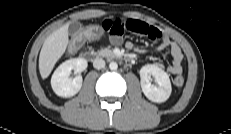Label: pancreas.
Segmentation results:
<instances>
[{
	"instance_id": "cf45deb5",
	"label": "pancreas",
	"mask_w": 231,
	"mask_h": 134,
	"mask_svg": "<svg viewBox=\"0 0 231 134\" xmlns=\"http://www.w3.org/2000/svg\"><path fill=\"white\" fill-rule=\"evenodd\" d=\"M98 55L103 56V57H107V58H113V57H115V55L112 52V50H110L108 48H101L98 51Z\"/></svg>"
}]
</instances>
